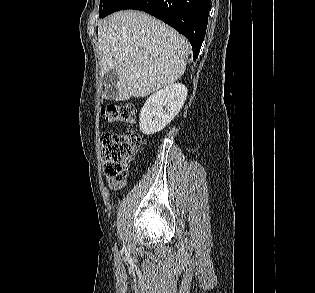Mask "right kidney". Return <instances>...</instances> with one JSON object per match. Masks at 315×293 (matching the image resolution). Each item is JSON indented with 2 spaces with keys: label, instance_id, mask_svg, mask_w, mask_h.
<instances>
[{
  "label": "right kidney",
  "instance_id": "right-kidney-1",
  "mask_svg": "<svg viewBox=\"0 0 315 293\" xmlns=\"http://www.w3.org/2000/svg\"><path fill=\"white\" fill-rule=\"evenodd\" d=\"M187 87L174 83L152 94L142 107L139 126L145 135L164 129L178 114L186 97Z\"/></svg>",
  "mask_w": 315,
  "mask_h": 293
}]
</instances>
